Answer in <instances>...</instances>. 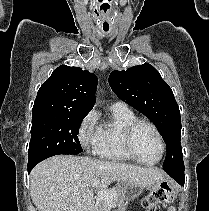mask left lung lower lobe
Instances as JSON below:
<instances>
[{
    "mask_svg": "<svg viewBox=\"0 0 209 211\" xmlns=\"http://www.w3.org/2000/svg\"><path fill=\"white\" fill-rule=\"evenodd\" d=\"M169 176L175 179L181 186H184V167L174 171H165Z\"/></svg>",
    "mask_w": 209,
    "mask_h": 211,
    "instance_id": "0a47b994",
    "label": "left lung lower lobe"
}]
</instances>
